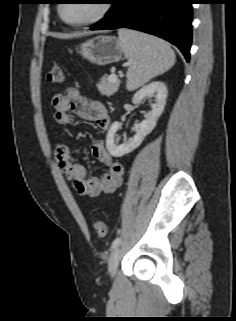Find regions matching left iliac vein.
<instances>
[{
    "mask_svg": "<svg viewBox=\"0 0 236 321\" xmlns=\"http://www.w3.org/2000/svg\"><path fill=\"white\" fill-rule=\"evenodd\" d=\"M119 259H120V249L119 247H115L110 255L109 262H108V270L111 277H114L116 274Z\"/></svg>",
    "mask_w": 236,
    "mask_h": 321,
    "instance_id": "4c4485c4",
    "label": "left iliac vein"
}]
</instances>
